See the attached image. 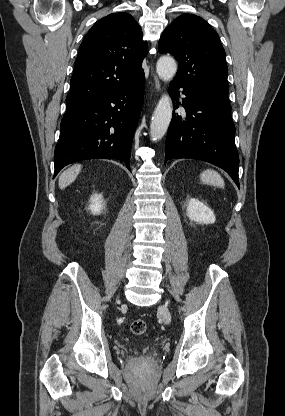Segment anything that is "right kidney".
I'll list each match as a JSON object with an SVG mask.
<instances>
[{
  "label": "right kidney",
  "instance_id": "ca27d5eb",
  "mask_svg": "<svg viewBox=\"0 0 285 416\" xmlns=\"http://www.w3.org/2000/svg\"><path fill=\"white\" fill-rule=\"evenodd\" d=\"M90 202L91 204L88 210H91L92 214H100V210H103L101 194H94V196H91Z\"/></svg>",
  "mask_w": 285,
  "mask_h": 416
}]
</instances>
